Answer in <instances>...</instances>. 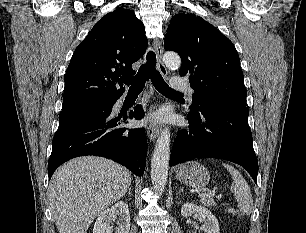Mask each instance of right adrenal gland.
I'll return each mask as SVG.
<instances>
[{"instance_id":"2a0ac1e0","label":"right adrenal gland","mask_w":306,"mask_h":233,"mask_svg":"<svg viewBox=\"0 0 306 233\" xmlns=\"http://www.w3.org/2000/svg\"><path fill=\"white\" fill-rule=\"evenodd\" d=\"M126 194H129L130 196H133V194H132V190H131V187H129L128 188V191H127V193Z\"/></svg>"}]
</instances>
